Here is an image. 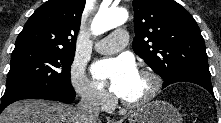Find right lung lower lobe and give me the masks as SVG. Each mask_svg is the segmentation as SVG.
<instances>
[{
    "label": "right lung lower lobe",
    "mask_w": 221,
    "mask_h": 123,
    "mask_svg": "<svg viewBox=\"0 0 221 123\" xmlns=\"http://www.w3.org/2000/svg\"><path fill=\"white\" fill-rule=\"evenodd\" d=\"M74 98L75 91L72 86L56 85L41 92H35L31 88H20L5 92L2 97L0 113L9 104L22 99H45L71 103Z\"/></svg>",
    "instance_id": "right-lung-lower-lobe-1"
}]
</instances>
